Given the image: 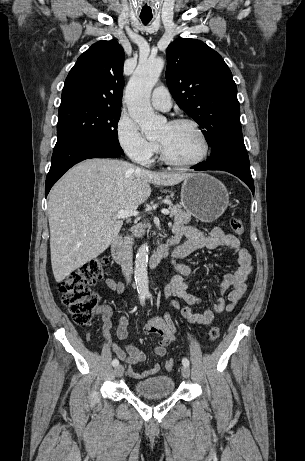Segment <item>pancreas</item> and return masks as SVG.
<instances>
[{"mask_svg":"<svg viewBox=\"0 0 305 461\" xmlns=\"http://www.w3.org/2000/svg\"><path fill=\"white\" fill-rule=\"evenodd\" d=\"M169 210L171 212V216L174 218L175 223L179 224H188L191 220V214L182 210L179 204H171L169 203ZM150 227L149 224H138L133 228L134 235L136 237H141L145 233V228Z\"/></svg>","mask_w":305,"mask_h":461,"instance_id":"obj_1","label":"pancreas"}]
</instances>
